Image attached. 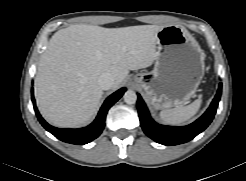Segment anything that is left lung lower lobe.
Wrapping results in <instances>:
<instances>
[{"label": "left lung lower lobe", "instance_id": "left-lung-lower-lobe-1", "mask_svg": "<svg viewBox=\"0 0 246 181\" xmlns=\"http://www.w3.org/2000/svg\"><path fill=\"white\" fill-rule=\"evenodd\" d=\"M222 84L220 83L217 94L207 111L195 122L183 127L163 126L157 124L150 116L149 111L138 95L137 107L140 124L145 134L154 141L163 145H178L186 143L205 130L212 122L221 97Z\"/></svg>", "mask_w": 246, "mask_h": 181}]
</instances>
